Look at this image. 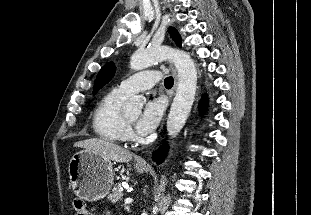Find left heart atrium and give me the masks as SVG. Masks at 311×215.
I'll use <instances>...</instances> for the list:
<instances>
[{
  "label": "left heart atrium",
  "mask_w": 311,
  "mask_h": 215,
  "mask_svg": "<svg viewBox=\"0 0 311 215\" xmlns=\"http://www.w3.org/2000/svg\"><path fill=\"white\" fill-rule=\"evenodd\" d=\"M162 99L149 100L136 121V130L140 135L151 133L158 125L164 111Z\"/></svg>",
  "instance_id": "obj_1"
}]
</instances>
